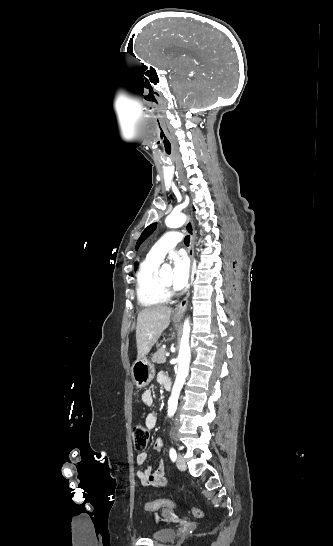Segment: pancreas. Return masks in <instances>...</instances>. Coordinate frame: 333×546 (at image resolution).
<instances>
[{
  "label": "pancreas",
  "instance_id": "cf45deb5",
  "mask_svg": "<svg viewBox=\"0 0 333 546\" xmlns=\"http://www.w3.org/2000/svg\"><path fill=\"white\" fill-rule=\"evenodd\" d=\"M166 349L159 348L157 352L152 356V361L157 364H163L166 362Z\"/></svg>",
  "mask_w": 333,
  "mask_h": 546
}]
</instances>
